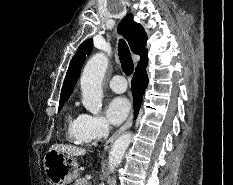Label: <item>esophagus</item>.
Segmentation results:
<instances>
[{"instance_id":"1","label":"esophagus","mask_w":233,"mask_h":185,"mask_svg":"<svg viewBox=\"0 0 233 185\" xmlns=\"http://www.w3.org/2000/svg\"><path fill=\"white\" fill-rule=\"evenodd\" d=\"M133 113L130 115L128 120L106 141L104 144V149L108 150L114 143V141L125 131L127 130L133 122Z\"/></svg>"}]
</instances>
